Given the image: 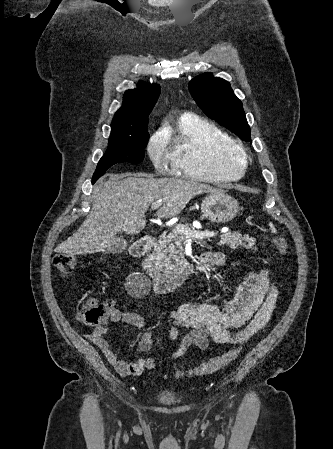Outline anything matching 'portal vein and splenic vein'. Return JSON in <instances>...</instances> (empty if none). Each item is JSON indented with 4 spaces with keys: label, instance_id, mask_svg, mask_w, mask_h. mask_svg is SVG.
I'll use <instances>...</instances> for the list:
<instances>
[{
    "label": "portal vein and splenic vein",
    "instance_id": "18ae733b",
    "mask_svg": "<svg viewBox=\"0 0 333 449\" xmlns=\"http://www.w3.org/2000/svg\"><path fill=\"white\" fill-rule=\"evenodd\" d=\"M161 204H162V200H158L157 202L152 203L151 209L156 210L161 206ZM175 229L179 232L184 233L186 236H188L191 239H205V238H211V237L215 236L214 232L195 231V230L192 231L181 224L176 225Z\"/></svg>",
    "mask_w": 333,
    "mask_h": 449
}]
</instances>
